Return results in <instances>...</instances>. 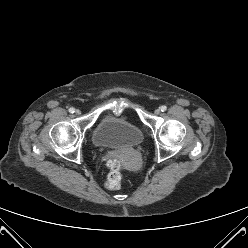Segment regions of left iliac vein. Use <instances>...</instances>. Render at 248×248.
Returning <instances> with one entry per match:
<instances>
[{"label":"left iliac vein","instance_id":"1","mask_svg":"<svg viewBox=\"0 0 248 248\" xmlns=\"http://www.w3.org/2000/svg\"><path fill=\"white\" fill-rule=\"evenodd\" d=\"M154 113H155L156 115H159V114H160V109H156V110L154 111Z\"/></svg>","mask_w":248,"mask_h":248}]
</instances>
